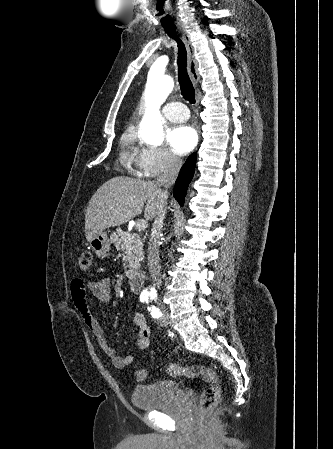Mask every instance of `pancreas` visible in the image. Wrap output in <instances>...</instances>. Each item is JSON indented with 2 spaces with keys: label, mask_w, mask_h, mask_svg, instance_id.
Here are the masks:
<instances>
[{
  "label": "pancreas",
  "mask_w": 333,
  "mask_h": 449,
  "mask_svg": "<svg viewBox=\"0 0 333 449\" xmlns=\"http://www.w3.org/2000/svg\"><path fill=\"white\" fill-rule=\"evenodd\" d=\"M111 238L115 243L116 249L123 256V266L127 277L138 270L140 262L143 260V244L139 234H130L119 230L111 234Z\"/></svg>",
  "instance_id": "1"
}]
</instances>
